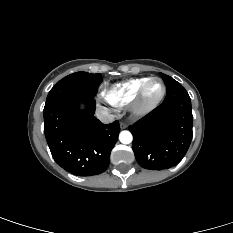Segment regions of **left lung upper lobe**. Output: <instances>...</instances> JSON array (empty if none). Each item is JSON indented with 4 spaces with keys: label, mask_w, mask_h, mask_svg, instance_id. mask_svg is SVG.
<instances>
[{
    "label": "left lung upper lobe",
    "mask_w": 233,
    "mask_h": 233,
    "mask_svg": "<svg viewBox=\"0 0 233 233\" xmlns=\"http://www.w3.org/2000/svg\"><path fill=\"white\" fill-rule=\"evenodd\" d=\"M164 83L166 84L167 87V93L172 92L180 87L181 84L179 82H177L176 80H174L172 77L165 75L163 73H160Z\"/></svg>",
    "instance_id": "left-lung-upper-lobe-1"
}]
</instances>
